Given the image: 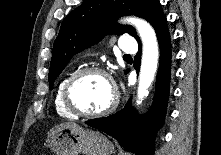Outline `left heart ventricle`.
I'll use <instances>...</instances> for the list:
<instances>
[{
  "instance_id": "b2bd125f",
  "label": "left heart ventricle",
  "mask_w": 221,
  "mask_h": 155,
  "mask_svg": "<svg viewBox=\"0 0 221 155\" xmlns=\"http://www.w3.org/2000/svg\"><path fill=\"white\" fill-rule=\"evenodd\" d=\"M71 97L74 104L85 112H98L106 108L113 97L110 82L102 75L89 74L74 85Z\"/></svg>"
}]
</instances>
